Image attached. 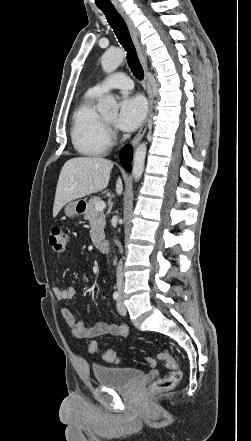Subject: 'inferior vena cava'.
<instances>
[{
    "mask_svg": "<svg viewBox=\"0 0 251 441\" xmlns=\"http://www.w3.org/2000/svg\"><path fill=\"white\" fill-rule=\"evenodd\" d=\"M116 278H117V289L119 291H121V290H123V287H124L123 269H122L121 262L117 266Z\"/></svg>",
    "mask_w": 251,
    "mask_h": 441,
    "instance_id": "inferior-vena-cava-1",
    "label": "inferior vena cava"
}]
</instances>
